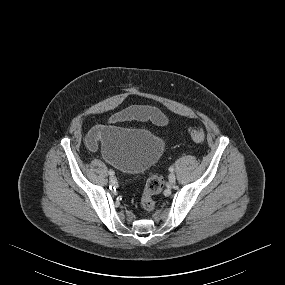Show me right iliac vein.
Segmentation results:
<instances>
[{
    "instance_id": "right-iliac-vein-1",
    "label": "right iliac vein",
    "mask_w": 285,
    "mask_h": 285,
    "mask_svg": "<svg viewBox=\"0 0 285 285\" xmlns=\"http://www.w3.org/2000/svg\"><path fill=\"white\" fill-rule=\"evenodd\" d=\"M109 179H110L111 183H115V181H116V178L113 175H111Z\"/></svg>"
}]
</instances>
